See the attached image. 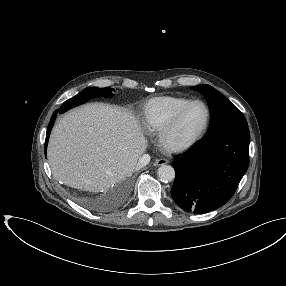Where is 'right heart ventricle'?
Listing matches in <instances>:
<instances>
[{"label": "right heart ventricle", "instance_id": "right-heart-ventricle-1", "mask_svg": "<svg viewBox=\"0 0 286 286\" xmlns=\"http://www.w3.org/2000/svg\"><path fill=\"white\" fill-rule=\"evenodd\" d=\"M191 101L189 98L173 96L149 99L142 110L145 129L151 133H159L177 112Z\"/></svg>", "mask_w": 286, "mask_h": 286}]
</instances>
